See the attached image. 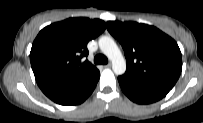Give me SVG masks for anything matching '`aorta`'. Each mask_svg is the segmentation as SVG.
Listing matches in <instances>:
<instances>
[{"label":"aorta","instance_id":"obj_1","mask_svg":"<svg viewBox=\"0 0 203 123\" xmlns=\"http://www.w3.org/2000/svg\"><path fill=\"white\" fill-rule=\"evenodd\" d=\"M98 44L103 54L112 62L114 73L116 75L124 74L126 71V62L113 38L102 36L99 38Z\"/></svg>","mask_w":203,"mask_h":123}]
</instances>
